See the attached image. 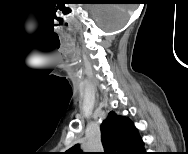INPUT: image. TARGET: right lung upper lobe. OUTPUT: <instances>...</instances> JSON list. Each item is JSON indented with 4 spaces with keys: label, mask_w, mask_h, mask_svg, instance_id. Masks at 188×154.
I'll return each instance as SVG.
<instances>
[{
    "label": "right lung upper lobe",
    "mask_w": 188,
    "mask_h": 154,
    "mask_svg": "<svg viewBox=\"0 0 188 154\" xmlns=\"http://www.w3.org/2000/svg\"><path fill=\"white\" fill-rule=\"evenodd\" d=\"M102 143L108 154H141L144 143L133 122L111 111L101 124ZM71 154H80L76 144L68 150Z\"/></svg>",
    "instance_id": "obj_1"
}]
</instances>
